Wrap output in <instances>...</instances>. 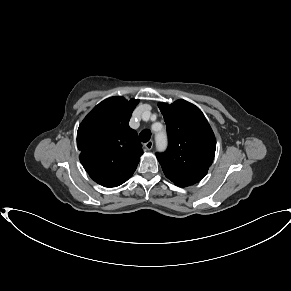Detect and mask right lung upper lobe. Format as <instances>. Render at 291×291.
I'll return each instance as SVG.
<instances>
[{
	"label": "right lung upper lobe",
	"instance_id": "1",
	"mask_svg": "<svg viewBox=\"0 0 291 291\" xmlns=\"http://www.w3.org/2000/svg\"><path fill=\"white\" fill-rule=\"evenodd\" d=\"M139 100L105 99L85 117L78 128L79 159L89 176L105 187H116L130 178L143 154L129 120Z\"/></svg>",
	"mask_w": 291,
	"mask_h": 291
}]
</instances>
